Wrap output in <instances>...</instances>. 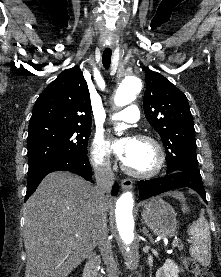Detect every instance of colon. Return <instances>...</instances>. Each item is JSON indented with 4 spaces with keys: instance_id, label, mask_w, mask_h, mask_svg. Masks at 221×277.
<instances>
[{
    "instance_id": "5ec220e1",
    "label": "colon",
    "mask_w": 221,
    "mask_h": 277,
    "mask_svg": "<svg viewBox=\"0 0 221 277\" xmlns=\"http://www.w3.org/2000/svg\"><path fill=\"white\" fill-rule=\"evenodd\" d=\"M183 264L186 270L192 273L195 277H215L211 270L200 266L196 261L189 257L183 258Z\"/></svg>"
}]
</instances>
